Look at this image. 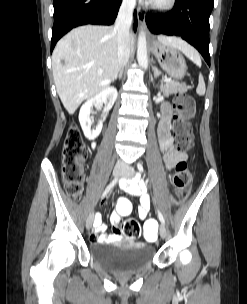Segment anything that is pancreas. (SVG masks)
<instances>
[{
	"label": "pancreas",
	"instance_id": "pancreas-1",
	"mask_svg": "<svg viewBox=\"0 0 247 304\" xmlns=\"http://www.w3.org/2000/svg\"><path fill=\"white\" fill-rule=\"evenodd\" d=\"M161 90L163 91L165 96H168L171 93L186 92L188 90V87L176 81H168L161 86Z\"/></svg>",
	"mask_w": 247,
	"mask_h": 304
}]
</instances>
